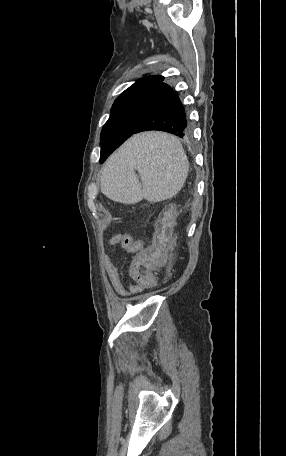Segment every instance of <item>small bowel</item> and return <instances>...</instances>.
<instances>
[{
	"mask_svg": "<svg viewBox=\"0 0 286 456\" xmlns=\"http://www.w3.org/2000/svg\"><path fill=\"white\" fill-rule=\"evenodd\" d=\"M141 245L143 246L142 240L134 239L128 234H117L110 240V246L113 250L118 246H122L128 252H137V248ZM103 263L110 285L118 296L127 298L141 292L135 284H129L127 288L124 286L118 268L113 263L110 254L104 256Z\"/></svg>",
	"mask_w": 286,
	"mask_h": 456,
	"instance_id": "obj_1",
	"label": "small bowel"
}]
</instances>
